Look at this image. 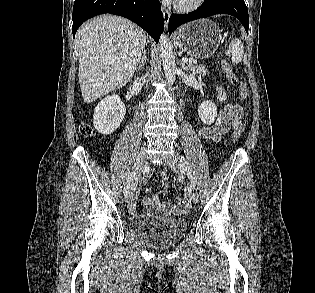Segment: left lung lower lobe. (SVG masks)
I'll list each match as a JSON object with an SVG mask.
<instances>
[{"label": "left lung lower lobe", "instance_id": "0a47b994", "mask_svg": "<svg viewBox=\"0 0 315 293\" xmlns=\"http://www.w3.org/2000/svg\"><path fill=\"white\" fill-rule=\"evenodd\" d=\"M215 14H229L240 20L248 33L249 17L244 0H205L197 10L188 14H172L169 19V33L180 25Z\"/></svg>", "mask_w": 315, "mask_h": 293}]
</instances>
